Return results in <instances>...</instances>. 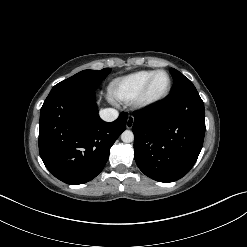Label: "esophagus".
Instances as JSON below:
<instances>
[{"mask_svg":"<svg viewBox=\"0 0 247 247\" xmlns=\"http://www.w3.org/2000/svg\"><path fill=\"white\" fill-rule=\"evenodd\" d=\"M133 124H134V117L133 116H128V119L126 121V127L128 129H130V128H132Z\"/></svg>","mask_w":247,"mask_h":247,"instance_id":"obj_1","label":"esophagus"}]
</instances>
